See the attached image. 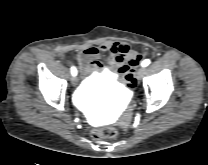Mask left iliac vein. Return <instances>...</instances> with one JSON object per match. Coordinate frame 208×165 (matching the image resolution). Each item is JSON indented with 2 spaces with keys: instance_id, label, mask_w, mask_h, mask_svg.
I'll return each instance as SVG.
<instances>
[{
  "instance_id": "4c4485c4",
  "label": "left iliac vein",
  "mask_w": 208,
  "mask_h": 165,
  "mask_svg": "<svg viewBox=\"0 0 208 165\" xmlns=\"http://www.w3.org/2000/svg\"><path fill=\"white\" fill-rule=\"evenodd\" d=\"M144 74H145V68H144V67H140V68L137 70V72H136V78H137L138 80H140V79L143 78Z\"/></svg>"
}]
</instances>
